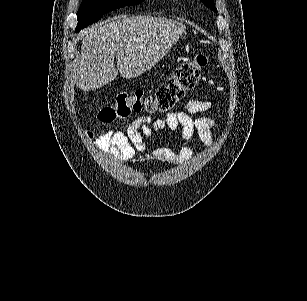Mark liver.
<instances>
[{
    "mask_svg": "<svg viewBox=\"0 0 307 301\" xmlns=\"http://www.w3.org/2000/svg\"><path fill=\"white\" fill-rule=\"evenodd\" d=\"M185 30L179 20L141 14H120L84 28L74 82L80 90H95L112 82L118 70L123 78H135L157 64Z\"/></svg>",
    "mask_w": 307,
    "mask_h": 301,
    "instance_id": "1",
    "label": "liver"
}]
</instances>
